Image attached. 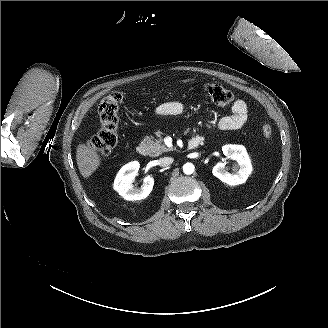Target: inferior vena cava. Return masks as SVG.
<instances>
[{
	"instance_id": "1",
	"label": "inferior vena cava",
	"mask_w": 328,
	"mask_h": 328,
	"mask_svg": "<svg viewBox=\"0 0 328 328\" xmlns=\"http://www.w3.org/2000/svg\"><path fill=\"white\" fill-rule=\"evenodd\" d=\"M174 159L172 157H163L159 159V165L161 167H167L173 163Z\"/></svg>"
}]
</instances>
